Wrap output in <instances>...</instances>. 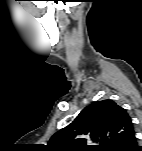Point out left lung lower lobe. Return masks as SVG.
<instances>
[{"instance_id":"obj_1","label":"left lung lower lobe","mask_w":142,"mask_h":151,"mask_svg":"<svg viewBox=\"0 0 142 151\" xmlns=\"http://www.w3.org/2000/svg\"><path fill=\"white\" fill-rule=\"evenodd\" d=\"M119 151H142V147L137 146L135 132L124 141Z\"/></svg>"}]
</instances>
